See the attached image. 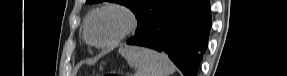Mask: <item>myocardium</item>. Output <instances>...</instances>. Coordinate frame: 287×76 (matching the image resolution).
I'll return each instance as SVG.
<instances>
[{
	"mask_svg": "<svg viewBox=\"0 0 287 76\" xmlns=\"http://www.w3.org/2000/svg\"><path fill=\"white\" fill-rule=\"evenodd\" d=\"M106 11H114L117 13H120L124 19L125 23L122 27V29L110 40L106 42H97L94 41L91 36H90V24L91 21L99 14L106 12ZM138 25V18L136 14L127 6L119 3H110L103 5L99 8H96L93 10L88 17L86 18L85 24H84V36L89 44L96 48H110L113 47L114 45L118 44L122 40H124L127 36H129L136 28Z\"/></svg>",
	"mask_w": 287,
	"mask_h": 76,
	"instance_id": "f54148a6",
	"label": "myocardium"
}]
</instances>
